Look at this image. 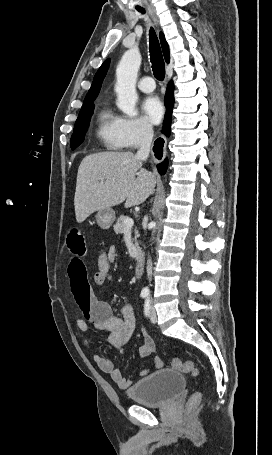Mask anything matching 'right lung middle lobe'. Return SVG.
Wrapping results in <instances>:
<instances>
[{"label":"right lung middle lobe","instance_id":"dd1d6c3e","mask_svg":"<svg viewBox=\"0 0 272 455\" xmlns=\"http://www.w3.org/2000/svg\"><path fill=\"white\" fill-rule=\"evenodd\" d=\"M93 110H94L93 101L83 104L74 126L73 135L71 137L72 149H75L84 141V135L89 126V121L93 113Z\"/></svg>","mask_w":272,"mask_h":455}]
</instances>
